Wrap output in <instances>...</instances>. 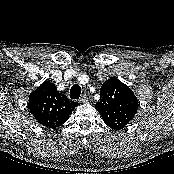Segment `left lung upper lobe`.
<instances>
[{
  "label": "left lung upper lobe",
  "instance_id": "left-lung-upper-lobe-1",
  "mask_svg": "<svg viewBox=\"0 0 174 174\" xmlns=\"http://www.w3.org/2000/svg\"><path fill=\"white\" fill-rule=\"evenodd\" d=\"M100 96L95 108L105 124L112 129H123L137 112L138 100L135 94L115 77L102 84Z\"/></svg>",
  "mask_w": 174,
  "mask_h": 174
}]
</instances>
